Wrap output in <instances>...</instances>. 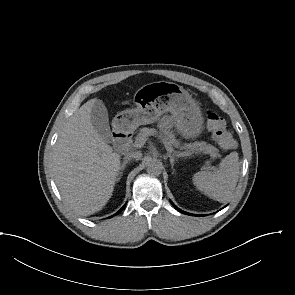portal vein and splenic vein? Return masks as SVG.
<instances>
[{
    "label": "portal vein and splenic vein",
    "mask_w": 295,
    "mask_h": 295,
    "mask_svg": "<svg viewBox=\"0 0 295 295\" xmlns=\"http://www.w3.org/2000/svg\"><path fill=\"white\" fill-rule=\"evenodd\" d=\"M145 142H146V139L141 138L135 143V146L140 148L145 144ZM161 142L164 144V146L168 152L175 153L174 149L169 145V143L167 141H165L164 139H161ZM188 155H189V153H181L180 154V156H188ZM206 165L207 166L210 165L209 160L206 161Z\"/></svg>",
    "instance_id": "18ae733b"
}]
</instances>
